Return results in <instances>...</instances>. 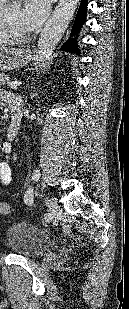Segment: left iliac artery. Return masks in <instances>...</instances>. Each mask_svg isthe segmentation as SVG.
Here are the masks:
<instances>
[{
	"label": "left iliac artery",
	"mask_w": 129,
	"mask_h": 309,
	"mask_svg": "<svg viewBox=\"0 0 129 309\" xmlns=\"http://www.w3.org/2000/svg\"><path fill=\"white\" fill-rule=\"evenodd\" d=\"M39 177H40V171L38 169H35L34 172H33L32 178L34 180H38ZM25 203L28 204V205H32V203H33V194L32 193L28 194L25 197ZM50 219H51V213L46 214L45 215V220L49 221Z\"/></svg>",
	"instance_id": "left-iliac-artery-1"
}]
</instances>
